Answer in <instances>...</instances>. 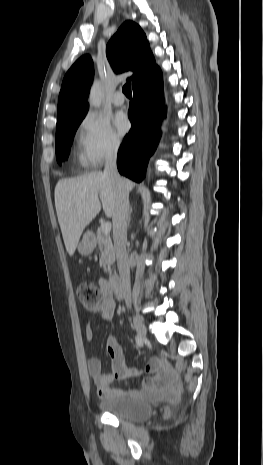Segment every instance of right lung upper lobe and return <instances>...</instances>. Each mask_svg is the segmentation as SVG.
Listing matches in <instances>:
<instances>
[{
  "label": "right lung upper lobe",
  "mask_w": 263,
  "mask_h": 465,
  "mask_svg": "<svg viewBox=\"0 0 263 465\" xmlns=\"http://www.w3.org/2000/svg\"><path fill=\"white\" fill-rule=\"evenodd\" d=\"M107 59L115 72L133 71L134 86L154 73L158 66L150 51L146 35L139 25L124 22L106 47ZM94 76L89 55L79 58L66 73L58 99L57 123L74 112L88 110L85 101Z\"/></svg>",
  "instance_id": "obj_1"
}]
</instances>
